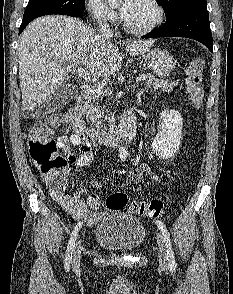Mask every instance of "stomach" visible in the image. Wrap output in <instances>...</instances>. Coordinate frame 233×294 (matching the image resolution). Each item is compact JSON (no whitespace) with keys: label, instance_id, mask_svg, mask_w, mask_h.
Listing matches in <instances>:
<instances>
[{"label":"stomach","instance_id":"0dacf381","mask_svg":"<svg viewBox=\"0 0 233 294\" xmlns=\"http://www.w3.org/2000/svg\"><path fill=\"white\" fill-rule=\"evenodd\" d=\"M142 55L152 73L161 78L168 76L176 66L169 52L159 48L147 50Z\"/></svg>","mask_w":233,"mask_h":294}]
</instances>
